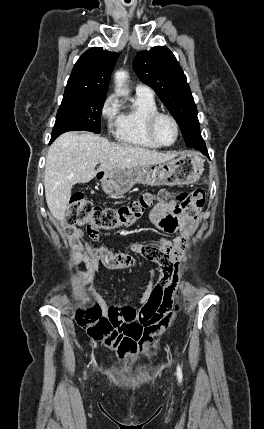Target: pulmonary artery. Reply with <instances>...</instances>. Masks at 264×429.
<instances>
[{
    "instance_id": "pulmonary-artery-1",
    "label": "pulmonary artery",
    "mask_w": 264,
    "mask_h": 429,
    "mask_svg": "<svg viewBox=\"0 0 264 429\" xmlns=\"http://www.w3.org/2000/svg\"><path fill=\"white\" fill-rule=\"evenodd\" d=\"M135 91H136V94L152 95L153 96L152 89L143 83H138L135 87Z\"/></svg>"
}]
</instances>
